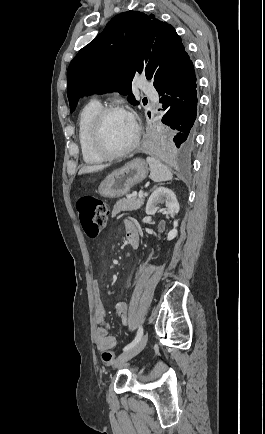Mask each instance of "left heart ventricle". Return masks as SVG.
I'll use <instances>...</instances> for the list:
<instances>
[{"mask_svg":"<svg viewBox=\"0 0 265 434\" xmlns=\"http://www.w3.org/2000/svg\"><path fill=\"white\" fill-rule=\"evenodd\" d=\"M135 137L136 127L130 123L126 114L116 113L109 117L106 122L105 140L111 150H126L133 144Z\"/></svg>","mask_w":265,"mask_h":434,"instance_id":"b2bd125f","label":"left heart ventricle"}]
</instances>
